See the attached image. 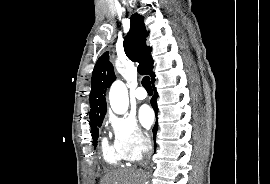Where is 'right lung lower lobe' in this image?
<instances>
[{
	"label": "right lung lower lobe",
	"instance_id": "98d812e1",
	"mask_svg": "<svg viewBox=\"0 0 270 184\" xmlns=\"http://www.w3.org/2000/svg\"><path fill=\"white\" fill-rule=\"evenodd\" d=\"M154 81H155V77L152 79V84H153V89H154V96L153 98L151 99V105L155 111V113L157 114L158 112V108H157V103H156V99L158 97V94H157V91L154 87ZM157 128H158V125L157 123L154 125V128H153V135H154V140H155V135H156V132H157Z\"/></svg>",
	"mask_w": 270,
	"mask_h": 184
}]
</instances>
